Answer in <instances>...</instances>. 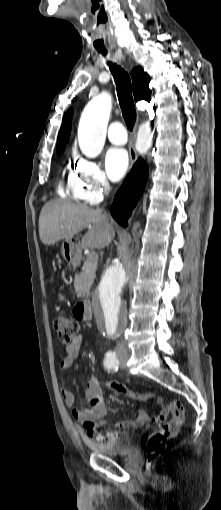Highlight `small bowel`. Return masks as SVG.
I'll list each match as a JSON object with an SVG mask.
<instances>
[{"mask_svg":"<svg viewBox=\"0 0 221 510\" xmlns=\"http://www.w3.org/2000/svg\"><path fill=\"white\" fill-rule=\"evenodd\" d=\"M82 347L83 340L79 335L66 346L64 356L59 361V369L62 372H65L72 367L75 360L79 357ZM61 393L65 404L71 408L72 417L77 422L85 425L86 432L89 437L101 442L114 441L120 436L130 431H134L149 422H159L158 415L160 412L164 411L163 396L151 394L154 396L156 403L159 405L158 413L155 416H150L146 411L141 410L137 412L134 418L130 421L111 423L101 420L107 413V407L102 393L94 379H89L84 389V394L89 401L91 399H96L94 403H90V407L88 408H77L73 393L65 385L62 386ZM102 428H107L108 431L102 433L100 431ZM100 434H102V438H99Z\"/></svg>","mask_w":221,"mask_h":510,"instance_id":"obj_1","label":"small bowel"}]
</instances>
